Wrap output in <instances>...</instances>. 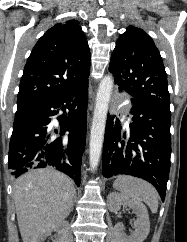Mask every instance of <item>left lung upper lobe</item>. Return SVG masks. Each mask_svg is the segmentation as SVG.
<instances>
[{"label":"left lung upper lobe","instance_id":"5c2ea615","mask_svg":"<svg viewBox=\"0 0 187 242\" xmlns=\"http://www.w3.org/2000/svg\"><path fill=\"white\" fill-rule=\"evenodd\" d=\"M109 71L119 90L170 112L167 74L159 50L142 29L130 26L116 42Z\"/></svg>","mask_w":187,"mask_h":242}]
</instances>
